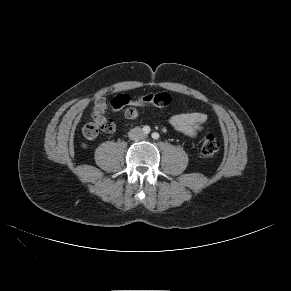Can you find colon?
Segmentation results:
<instances>
[{
  "label": "colon",
  "mask_w": 291,
  "mask_h": 291,
  "mask_svg": "<svg viewBox=\"0 0 291 291\" xmlns=\"http://www.w3.org/2000/svg\"><path fill=\"white\" fill-rule=\"evenodd\" d=\"M171 102V97L167 93L155 92L154 94L132 95L122 92L112 98L110 107L112 109L122 110L130 105H139L147 107H165ZM115 126L113 122L101 114H92V121L83 127V135L88 140H95L99 133L113 132ZM219 142L215 136L206 135L201 143V152L205 157H213L219 152Z\"/></svg>",
  "instance_id": "1"
}]
</instances>
